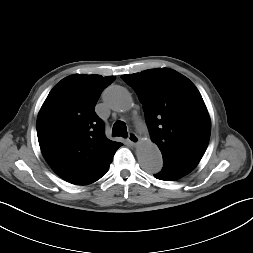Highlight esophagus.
<instances>
[{
  "mask_svg": "<svg viewBox=\"0 0 253 253\" xmlns=\"http://www.w3.org/2000/svg\"><path fill=\"white\" fill-rule=\"evenodd\" d=\"M127 140L132 145H137L140 142L138 135L132 131L129 133Z\"/></svg>",
  "mask_w": 253,
  "mask_h": 253,
  "instance_id": "1",
  "label": "esophagus"
}]
</instances>
